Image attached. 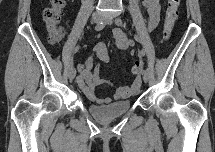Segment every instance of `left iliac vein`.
Instances as JSON below:
<instances>
[{
  "instance_id": "obj_1",
  "label": "left iliac vein",
  "mask_w": 215,
  "mask_h": 152,
  "mask_svg": "<svg viewBox=\"0 0 215 152\" xmlns=\"http://www.w3.org/2000/svg\"><path fill=\"white\" fill-rule=\"evenodd\" d=\"M103 21L108 23V24H111L112 23V18L110 16H105ZM144 73L145 74L143 75V80H144V82H148L149 79H150V71H149V69H145Z\"/></svg>"
}]
</instances>
